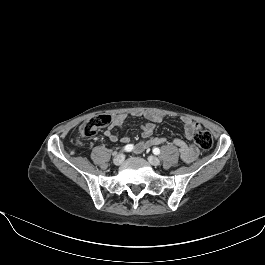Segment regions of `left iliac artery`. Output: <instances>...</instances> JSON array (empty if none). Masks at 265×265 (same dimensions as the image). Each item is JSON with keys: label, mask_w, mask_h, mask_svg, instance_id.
<instances>
[{"label": "left iliac artery", "mask_w": 265, "mask_h": 265, "mask_svg": "<svg viewBox=\"0 0 265 265\" xmlns=\"http://www.w3.org/2000/svg\"><path fill=\"white\" fill-rule=\"evenodd\" d=\"M153 153H154L155 155L160 154V149H159V148H154V149H153Z\"/></svg>", "instance_id": "1"}]
</instances>
